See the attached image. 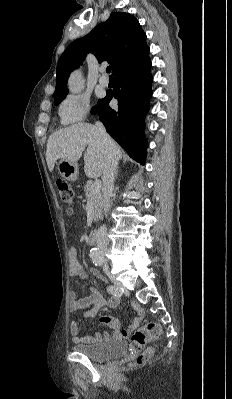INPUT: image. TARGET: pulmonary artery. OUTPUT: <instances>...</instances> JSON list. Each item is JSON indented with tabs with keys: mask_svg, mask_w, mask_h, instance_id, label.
I'll use <instances>...</instances> for the list:
<instances>
[{
	"mask_svg": "<svg viewBox=\"0 0 232 399\" xmlns=\"http://www.w3.org/2000/svg\"><path fill=\"white\" fill-rule=\"evenodd\" d=\"M101 73H102V76H101L100 79H99V84H100L101 86H103V87H107L108 84H109V81H108L107 77L105 76V75H106V74H105V69H103V70L101 71Z\"/></svg>",
	"mask_w": 232,
	"mask_h": 399,
	"instance_id": "e3ab8cb5",
	"label": "pulmonary artery"
}]
</instances>
